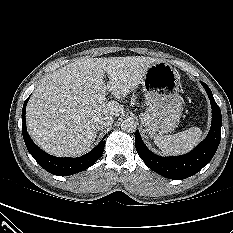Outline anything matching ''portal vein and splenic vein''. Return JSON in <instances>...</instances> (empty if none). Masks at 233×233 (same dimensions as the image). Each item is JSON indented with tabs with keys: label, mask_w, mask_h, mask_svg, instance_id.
<instances>
[{
	"label": "portal vein and splenic vein",
	"mask_w": 233,
	"mask_h": 233,
	"mask_svg": "<svg viewBox=\"0 0 233 233\" xmlns=\"http://www.w3.org/2000/svg\"><path fill=\"white\" fill-rule=\"evenodd\" d=\"M105 99H106V97H105V94H104V93L98 94V100H99V101L103 102V101H105Z\"/></svg>",
	"instance_id": "portal-vein-and-splenic-vein-1"
}]
</instances>
